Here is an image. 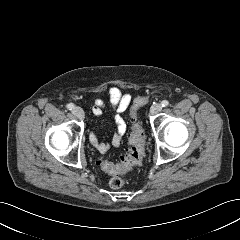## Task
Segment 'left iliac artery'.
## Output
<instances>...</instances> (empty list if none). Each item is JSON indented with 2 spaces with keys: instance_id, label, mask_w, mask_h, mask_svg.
I'll return each instance as SVG.
<instances>
[{
  "instance_id": "left-iliac-artery-1",
  "label": "left iliac artery",
  "mask_w": 240,
  "mask_h": 240,
  "mask_svg": "<svg viewBox=\"0 0 240 240\" xmlns=\"http://www.w3.org/2000/svg\"><path fill=\"white\" fill-rule=\"evenodd\" d=\"M162 107H167L169 105V102L167 100H163L161 102Z\"/></svg>"
}]
</instances>
